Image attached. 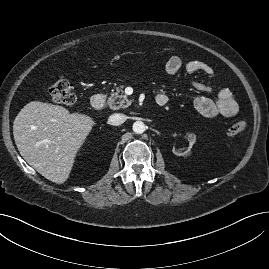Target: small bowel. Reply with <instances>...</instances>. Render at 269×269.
Here are the masks:
<instances>
[{
    "label": "small bowel",
    "mask_w": 269,
    "mask_h": 269,
    "mask_svg": "<svg viewBox=\"0 0 269 269\" xmlns=\"http://www.w3.org/2000/svg\"><path fill=\"white\" fill-rule=\"evenodd\" d=\"M183 67V61L178 56L170 57L165 64L166 72L169 75H177ZM185 72L187 74H194L196 72H203L207 75H213V69L205 62L198 60L188 61L184 65ZM193 87L203 93H215L216 99L212 100L205 96H198L194 99L195 109L207 118H214L222 116L225 118L233 117L238 112V104L234 94L228 89H220L215 91L210 85L200 81H193ZM163 95L158 93L157 97ZM156 97V98H157Z\"/></svg>",
    "instance_id": "obj_1"
}]
</instances>
